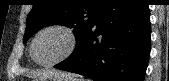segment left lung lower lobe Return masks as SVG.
Segmentation results:
<instances>
[{
	"mask_svg": "<svg viewBox=\"0 0 169 81\" xmlns=\"http://www.w3.org/2000/svg\"><path fill=\"white\" fill-rule=\"evenodd\" d=\"M150 34L144 0H108L71 56L54 67L95 81H144Z\"/></svg>",
	"mask_w": 169,
	"mask_h": 81,
	"instance_id": "left-lung-lower-lobe-1",
	"label": "left lung lower lobe"
}]
</instances>
